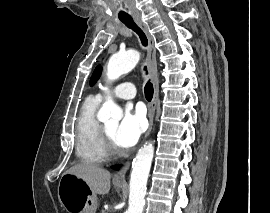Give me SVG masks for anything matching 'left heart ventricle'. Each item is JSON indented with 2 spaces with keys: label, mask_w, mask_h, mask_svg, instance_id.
<instances>
[{
  "label": "left heart ventricle",
  "mask_w": 270,
  "mask_h": 213,
  "mask_svg": "<svg viewBox=\"0 0 270 213\" xmlns=\"http://www.w3.org/2000/svg\"><path fill=\"white\" fill-rule=\"evenodd\" d=\"M104 127L107 130V132L109 133V135L111 136L114 144L119 148V146L117 145V143L115 141V131L118 127L117 123L107 124Z\"/></svg>",
  "instance_id": "obj_1"
}]
</instances>
